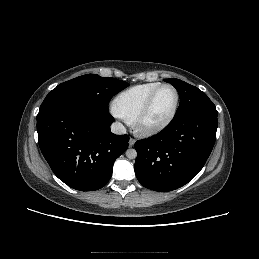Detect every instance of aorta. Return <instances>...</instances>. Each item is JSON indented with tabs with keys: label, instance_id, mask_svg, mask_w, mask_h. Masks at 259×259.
<instances>
[{
	"label": "aorta",
	"instance_id": "1",
	"mask_svg": "<svg viewBox=\"0 0 259 259\" xmlns=\"http://www.w3.org/2000/svg\"><path fill=\"white\" fill-rule=\"evenodd\" d=\"M126 156L129 158V159H135L136 156H137V152L135 149H128L126 151Z\"/></svg>",
	"mask_w": 259,
	"mask_h": 259
}]
</instances>
